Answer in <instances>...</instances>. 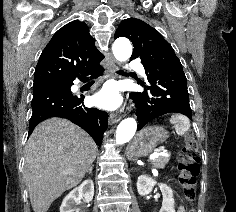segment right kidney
I'll return each instance as SVG.
<instances>
[{
    "label": "right kidney",
    "mask_w": 236,
    "mask_h": 212,
    "mask_svg": "<svg viewBox=\"0 0 236 212\" xmlns=\"http://www.w3.org/2000/svg\"><path fill=\"white\" fill-rule=\"evenodd\" d=\"M94 196V184L92 180L83 181L74 188L64 199L60 206V212H74V206L84 198L87 202Z\"/></svg>",
    "instance_id": "1"
}]
</instances>
